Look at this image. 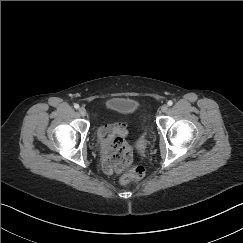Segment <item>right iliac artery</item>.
Returning <instances> with one entry per match:
<instances>
[{
    "instance_id": "right-iliac-artery-1",
    "label": "right iliac artery",
    "mask_w": 243,
    "mask_h": 243,
    "mask_svg": "<svg viewBox=\"0 0 243 243\" xmlns=\"http://www.w3.org/2000/svg\"><path fill=\"white\" fill-rule=\"evenodd\" d=\"M74 108L75 109H78L79 108V105L78 104H74Z\"/></svg>"
}]
</instances>
